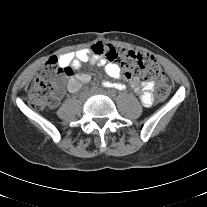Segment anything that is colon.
Here are the masks:
<instances>
[{"instance_id":"1","label":"colon","mask_w":207,"mask_h":207,"mask_svg":"<svg viewBox=\"0 0 207 207\" xmlns=\"http://www.w3.org/2000/svg\"><path fill=\"white\" fill-rule=\"evenodd\" d=\"M93 51L103 55L108 61L120 65L125 78L137 76L146 82H159L160 87L156 93L157 101H162L168 96L169 88L166 84L165 73L153 56L104 43L95 44ZM72 74V69L61 66L56 56L50 57L30 87L28 97L30 106L35 109L55 106L60 98L62 82Z\"/></svg>"}]
</instances>
